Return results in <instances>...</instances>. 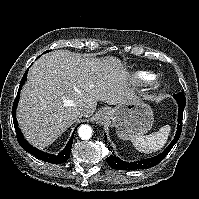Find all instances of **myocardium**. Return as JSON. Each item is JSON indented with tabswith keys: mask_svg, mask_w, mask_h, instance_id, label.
Listing matches in <instances>:
<instances>
[{
	"mask_svg": "<svg viewBox=\"0 0 199 199\" xmlns=\"http://www.w3.org/2000/svg\"><path fill=\"white\" fill-rule=\"evenodd\" d=\"M161 86H162L161 81L156 80V81L154 82V87H155V88H160Z\"/></svg>",
	"mask_w": 199,
	"mask_h": 199,
	"instance_id": "obj_1",
	"label": "myocardium"
}]
</instances>
